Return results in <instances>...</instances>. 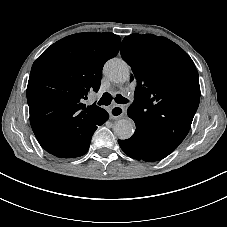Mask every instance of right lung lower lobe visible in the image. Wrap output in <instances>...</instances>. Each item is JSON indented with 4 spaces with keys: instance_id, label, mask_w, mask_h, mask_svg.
Returning <instances> with one entry per match:
<instances>
[{
    "instance_id": "obj_1",
    "label": "right lung lower lobe",
    "mask_w": 227,
    "mask_h": 227,
    "mask_svg": "<svg viewBox=\"0 0 227 227\" xmlns=\"http://www.w3.org/2000/svg\"><path fill=\"white\" fill-rule=\"evenodd\" d=\"M94 132L95 130H93V128L81 127L78 131V135L72 138V139H75L76 141L80 140V145L71 147L67 151H61L57 149H46L44 147L42 148H44L48 153L56 157H61V158L79 157L84 155L88 151V148L91 142V137Z\"/></svg>"
}]
</instances>
